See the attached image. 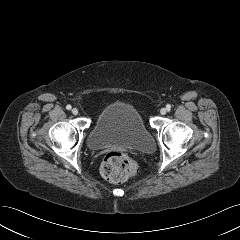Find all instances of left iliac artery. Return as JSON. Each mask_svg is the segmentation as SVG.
Segmentation results:
<instances>
[{
  "label": "left iliac artery",
  "instance_id": "1",
  "mask_svg": "<svg viewBox=\"0 0 240 240\" xmlns=\"http://www.w3.org/2000/svg\"><path fill=\"white\" fill-rule=\"evenodd\" d=\"M166 108H167V110H170V109H171V105H170V104H167V105H166Z\"/></svg>",
  "mask_w": 240,
  "mask_h": 240
}]
</instances>
